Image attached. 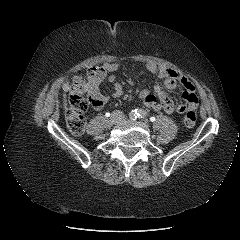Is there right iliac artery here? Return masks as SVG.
I'll return each mask as SVG.
<instances>
[{"mask_svg":"<svg viewBox=\"0 0 240 240\" xmlns=\"http://www.w3.org/2000/svg\"><path fill=\"white\" fill-rule=\"evenodd\" d=\"M130 118L133 119V120H135V118H137V117H136V114H135V113H131Z\"/></svg>","mask_w":240,"mask_h":240,"instance_id":"right-iliac-artery-1","label":"right iliac artery"}]
</instances>
